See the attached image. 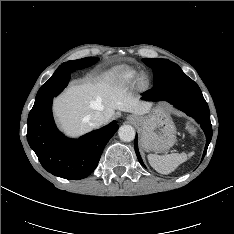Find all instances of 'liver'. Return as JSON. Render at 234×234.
Instances as JSON below:
<instances>
[{
	"instance_id": "obj_1",
	"label": "liver",
	"mask_w": 234,
	"mask_h": 234,
	"mask_svg": "<svg viewBox=\"0 0 234 234\" xmlns=\"http://www.w3.org/2000/svg\"><path fill=\"white\" fill-rule=\"evenodd\" d=\"M150 107V102L139 101L109 76L95 82L71 85L53 104L60 127L73 137L92 129L86 117L95 111L101 112L107 123L114 117L115 110L143 115Z\"/></svg>"
}]
</instances>
